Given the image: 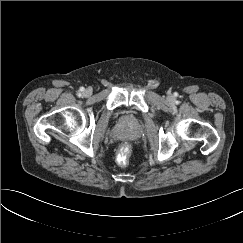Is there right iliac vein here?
<instances>
[{"label":"right iliac vein","mask_w":243,"mask_h":243,"mask_svg":"<svg viewBox=\"0 0 243 243\" xmlns=\"http://www.w3.org/2000/svg\"><path fill=\"white\" fill-rule=\"evenodd\" d=\"M92 94L91 90L90 89H86L84 92H83V95L84 96H90Z\"/></svg>","instance_id":"63e3f726"}]
</instances>
